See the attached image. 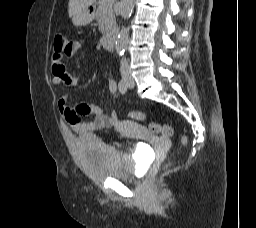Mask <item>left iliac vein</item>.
<instances>
[{
    "label": "left iliac vein",
    "instance_id": "4c4485c4",
    "mask_svg": "<svg viewBox=\"0 0 256 228\" xmlns=\"http://www.w3.org/2000/svg\"><path fill=\"white\" fill-rule=\"evenodd\" d=\"M127 84L129 88H133L134 87V80L131 76L127 77Z\"/></svg>",
    "mask_w": 256,
    "mask_h": 228
}]
</instances>
